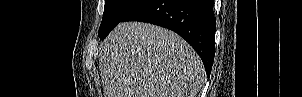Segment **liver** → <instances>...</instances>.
Wrapping results in <instances>:
<instances>
[{"mask_svg": "<svg viewBox=\"0 0 302 97\" xmlns=\"http://www.w3.org/2000/svg\"><path fill=\"white\" fill-rule=\"evenodd\" d=\"M104 97H195L200 57L179 35L141 22L119 23L99 53Z\"/></svg>", "mask_w": 302, "mask_h": 97, "instance_id": "1", "label": "liver"}]
</instances>
